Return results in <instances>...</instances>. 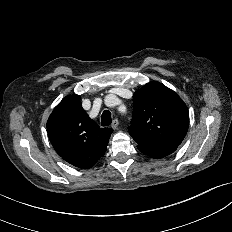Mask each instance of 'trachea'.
Instances as JSON below:
<instances>
[{"instance_id":"obj_1","label":"trachea","mask_w":232,"mask_h":232,"mask_svg":"<svg viewBox=\"0 0 232 232\" xmlns=\"http://www.w3.org/2000/svg\"><path fill=\"white\" fill-rule=\"evenodd\" d=\"M111 113L109 110H104L101 115V125L102 126H109L111 124Z\"/></svg>"}]
</instances>
